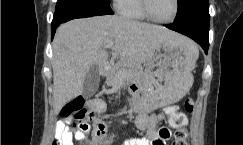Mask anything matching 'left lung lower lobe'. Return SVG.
I'll return each mask as SVG.
<instances>
[{
    "instance_id": "0a47b994",
    "label": "left lung lower lobe",
    "mask_w": 243,
    "mask_h": 145,
    "mask_svg": "<svg viewBox=\"0 0 243 145\" xmlns=\"http://www.w3.org/2000/svg\"><path fill=\"white\" fill-rule=\"evenodd\" d=\"M166 27L192 38L194 41L200 44L204 49V52L207 53L209 47V38L198 25L191 23V21L184 20L179 16V13H177L174 22L170 25H166Z\"/></svg>"
}]
</instances>
